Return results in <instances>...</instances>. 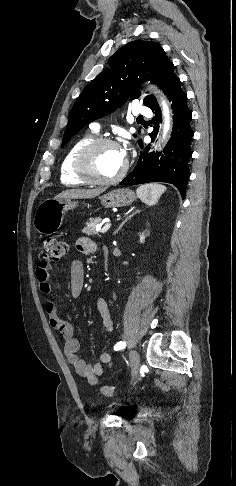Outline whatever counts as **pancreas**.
<instances>
[{"instance_id": "pancreas-1", "label": "pancreas", "mask_w": 236, "mask_h": 486, "mask_svg": "<svg viewBox=\"0 0 236 486\" xmlns=\"http://www.w3.org/2000/svg\"><path fill=\"white\" fill-rule=\"evenodd\" d=\"M101 222V218H95L93 220H90L89 222L86 223V227L82 229V232L85 233L88 236H95L99 234L98 231L95 230V227L97 224Z\"/></svg>"}]
</instances>
